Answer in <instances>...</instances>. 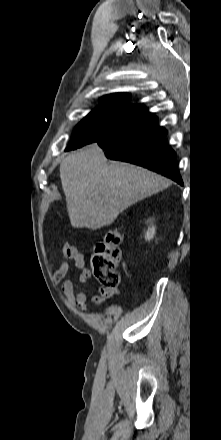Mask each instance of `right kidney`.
Wrapping results in <instances>:
<instances>
[{
  "label": "right kidney",
  "mask_w": 221,
  "mask_h": 440,
  "mask_svg": "<svg viewBox=\"0 0 221 440\" xmlns=\"http://www.w3.org/2000/svg\"><path fill=\"white\" fill-rule=\"evenodd\" d=\"M154 235H155V227L152 226L146 231L145 239L147 241H150L154 237Z\"/></svg>",
  "instance_id": "right-kidney-1"
}]
</instances>
